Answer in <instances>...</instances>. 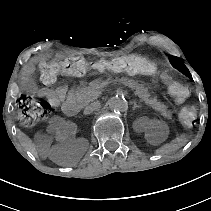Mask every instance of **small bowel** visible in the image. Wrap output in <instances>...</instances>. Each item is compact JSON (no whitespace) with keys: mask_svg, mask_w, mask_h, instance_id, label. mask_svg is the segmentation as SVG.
Wrapping results in <instances>:
<instances>
[{"mask_svg":"<svg viewBox=\"0 0 211 211\" xmlns=\"http://www.w3.org/2000/svg\"><path fill=\"white\" fill-rule=\"evenodd\" d=\"M50 59L49 54H40L33 59L32 62L28 63L22 71L21 74V87L25 91H34L35 85L33 82V77L36 72L37 66H41ZM67 86L62 85L56 89L45 88L39 91L42 97H45L50 104L53 106L60 105L66 97Z\"/></svg>","mask_w":211,"mask_h":211,"instance_id":"small-bowel-1","label":"small bowel"}]
</instances>
